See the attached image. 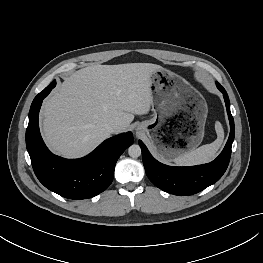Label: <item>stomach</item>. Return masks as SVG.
Instances as JSON below:
<instances>
[{"mask_svg": "<svg viewBox=\"0 0 263 263\" xmlns=\"http://www.w3.org/2000/svg\"><path fill=\"white\" fill-rule=\"evenodd\" d=\"M154 116L139 124L154 154L164 161L195 150L203 140L208 113L202 94L180 75L160 68L151 73Z\"/></svg>", "mask_w": 263, "mask_h": 263, "instance_id": "1", "label": "stomach"}]
</instances>
